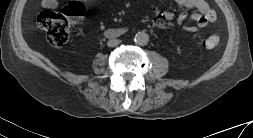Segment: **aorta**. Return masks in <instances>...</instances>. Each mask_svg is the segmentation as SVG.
<instances>
[{"mask_svg": "<svg viewBox=\"0 0 253 138\" xmlns=\"http://www.w3.org/2000/svg\"><path fill=\"white\" fill-rule=\"evenodd\" d=\"M134 41L136 44L144 46V45H147V43L149 42V36L147 33L141 31V32L136 33L134 37Z\"/></svg>", "mask_w": 253, "mask_h": 138, "instance_id": "aorta-1", "label": "aorta"}]
</instances>
